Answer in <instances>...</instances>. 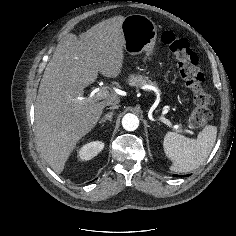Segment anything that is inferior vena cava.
<instances>
[{"mask_svg": "<svg viewBox=\"0 0 236 236\" xmlns=\"http://www.w3.org/2000/svg\"><path fill=\"white\" fill-rule=\"evenodd\" d=\"M109 105H111L110 109H117L118 108L117 103H111Z\"/></svg>", "mask_w": 236, "mask_h": 236, "instance_id": "1", "label": "inferior vena cava"}]
</instances>
